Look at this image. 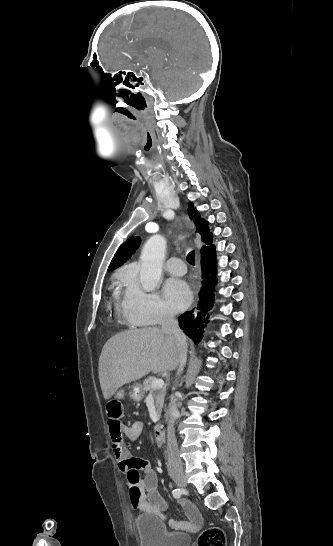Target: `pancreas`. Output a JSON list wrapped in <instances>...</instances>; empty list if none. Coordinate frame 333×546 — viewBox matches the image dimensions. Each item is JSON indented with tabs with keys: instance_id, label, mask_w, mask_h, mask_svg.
Returning a JSON list of instances; mask_svg holds the SVG:
<instances>
[{
	"instance_id": "cf45deb5",
	"label": "pancreas",
	"mask_w": 333,
	"mask_h": 546,
	"mask_svg": "<svg viewBox=\"0 0 333 546\" xmlns=\"http://www.w3.org/2000/svg\"><path fill=\"white\" fill-rule=\"evenodd\" d=\"M154 379H156L154 376H150V377L146 378L143 381V391H144V393H147V392H152L153 393V396H154V399H155V402H156L157 416H158V418H160L162 407H163V404H164V397H165V394H166V389L164 387L163 388H158V389H153L151 387V384H152V381Z\"/></svg>"
}]
</instances>
